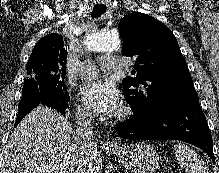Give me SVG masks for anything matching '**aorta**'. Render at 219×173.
<instances>
[{
    "mask_svg": "<svg viewBox=\"0 0 219 173\" xmlns=\"http://www.w3.org/2000/svg\"><path fill=\"white\" fill-rule=\"evenodd\" d=\"M88 50L95 52H111L120 49L121 40L118 36L104 33L101 31H93L86 39Z\"/></svg>",
    "mask_w": 219,
    "mask_h": 173,
    "instance_id": "762f6f07",
    "label": "aorta"
}]
</instances>
